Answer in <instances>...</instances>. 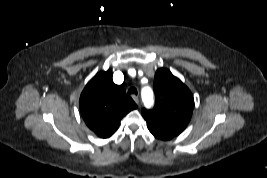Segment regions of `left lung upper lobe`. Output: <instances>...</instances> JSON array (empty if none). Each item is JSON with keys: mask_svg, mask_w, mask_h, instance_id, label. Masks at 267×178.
<instances>
[{"mask_svg": "<svg viewBox=\"0 0 267 178\" xmlns=\"http://www.w3.org/2000/svg\"><path fill=\"white\" fill-rule=\"evenodd\" d=\"M155 106L143 109L142 115L149 131L158 139L170 140L188 125L194 99L191 91L168 69L156 71L154 78Z\"/></svg>", "mask_w": 267, "mask_h": 178, "instance_id": "5c2ea615", "label": "left lung upper lobe"}]
</instances>
